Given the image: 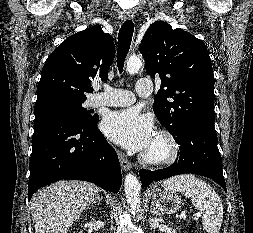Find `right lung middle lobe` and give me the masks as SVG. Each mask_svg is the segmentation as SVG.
Masks as SVG:
<instances>
[{
  "label": "right lung middle lobe",
  "mask_w": 253,
  "mask_h": 233,
  "mask_svg": "<svg viewBox=\"0 0 253 233\" xmlns=\"http://www.w3.org/2000/svg\"><path fill=\"white\" fill-rule=\"evenodd\" d=\"M86 99L77 100L64 97H52L35 105L34 123L49 118L66 119L76 124H88L97 118L83 107Z\"/></svg>",
  "instance_id": "1"
}]
</instances>
